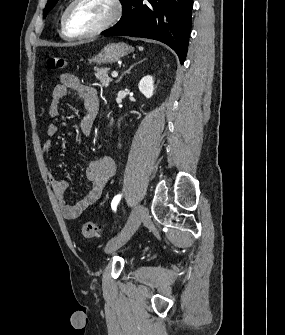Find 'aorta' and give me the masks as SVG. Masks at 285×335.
<instances>
[{
  "instance_id": "aorta-1",
  "label": "aorta",
  "mask_w": 285,
  "mask_h": 335,
  "mask_svg": "<svg viewBox=\"0 0 285 335\" xmlns=\"http://www.w3.org/2000/svg\"><path fill=\"white\" fill-rule=\"evenodd\" d=\"M102 137H109L111 140L114 137H121V130H117L116 125H103Z\"/></svg>"
}]
</instances>
